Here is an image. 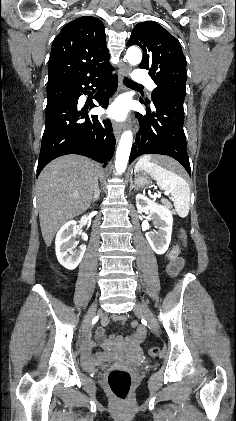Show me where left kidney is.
Segmentation results:
<instances>
[{"label":"left kidney","instance_id":"5707ae66","mask_svg":"<svg viewBox=\"0 0 236 421\" xmlns=\"http://www.w3.org/2000/svg\"><path fill=\"white\" fill-rule=\"evenodd\" d=\"M136 206L140 213H150V221H153L158 233H146L145 237L157 255L166 253L172 235L173 217L171 211L163 204H157L155 200H150L145 194H136Z\"/></svg>","mask_w":236,"mask_h":421}]
</instances>
